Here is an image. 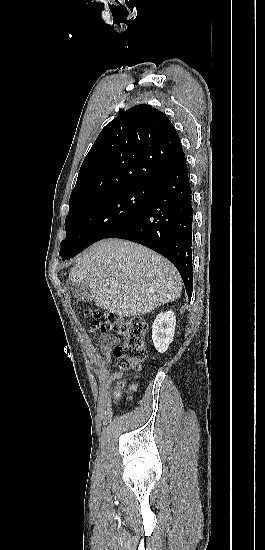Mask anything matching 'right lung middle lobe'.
<instances>
[{"instance_id": "obj_1", "label": "right lung middle lobe", "mask_w": 265, "mask_h": 550, "mask_svg": "<svg viewBox=\"0 0 265 550\" xmlns=\"http://www.w3.org/2000/svg\"><path fill=\"white\" fill-rule=\"evenodd\" d=\"M154 186L132 187L69 204L63 261L135 219L146 207Z\"/></svg>"}]
</instances>
